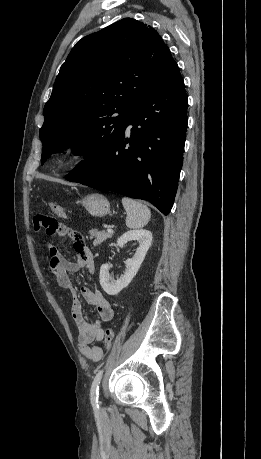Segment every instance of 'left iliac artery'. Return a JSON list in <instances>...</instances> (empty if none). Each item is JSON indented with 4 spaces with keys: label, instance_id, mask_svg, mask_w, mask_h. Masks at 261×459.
I'll return each instance as SVG.
<instances>
[{
    "label": "left iliac artery",
    "instance_id": "left-iliac-artery-1",
    "mask_svg": "<svg viewBox=\"0 0 261 459\" xmlns=\"http://www.w3.org/2000/svg\"><path fill=\"white\" fill-rule=\"evenodd\" d=\"M102 375H103V370H100L94 377V380L91 386V403L94 408H99V404H98L99 385H100Z\"/></svg>",
    "mask_w": 261,
    "mask_h": 459
}]
</instances>
